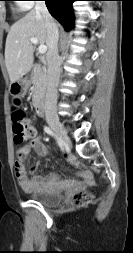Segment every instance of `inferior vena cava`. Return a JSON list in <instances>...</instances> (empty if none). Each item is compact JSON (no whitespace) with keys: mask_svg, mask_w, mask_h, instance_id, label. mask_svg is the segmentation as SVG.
I'll return each instance as SVG.
<instances>
[{"mask_svg":"<svg viewBox=\"0 0 133 253\" xmlns=\"http://www.w3.org/2000/svg\"><path fill=\"white\" fill-rule=\"evenodd\" d=\"M35 11L42 15L47 29V90L45 98L46 119H57V87L60 78V60L58 55V27L50 15L45 1H36Z\"/></svg>","mask_w":133,"mask_h":253,"instance_id":"1","label":"inferior vena cava"}]
</instances>
